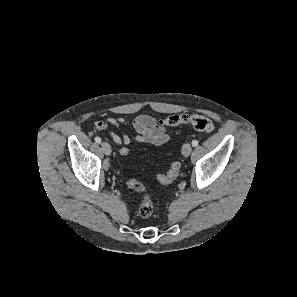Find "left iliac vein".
<instances>
[{
    "instance_id": "obj_1",
    "label": "left iliac vein",
    "mask_w": 297,
    "mask_h": 297,
    "mask_svg": "<svg viewBox=\"0 0 297 297\" xmlns=\"http://www.w3.org/2000/svg\"><path fill=\"white\" fill-rule=\"evenodd\" d=\"M192 147L190 143H185L182 147V154L184 157H188L191 154Z\"/></svg>"
}]
</instances>
